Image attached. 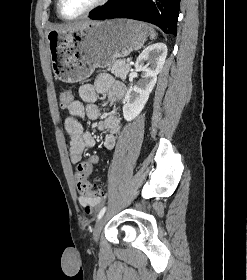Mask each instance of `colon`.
<instances>
[{
	"instance_id": "obj_1",
	"label": "colon",
	"mask_w": 247,
	"mask_h": 280,
	"mask_svg": "<svg viewBox=\"0 0 247 280\" xmlns=\"http://www.w3.org/2000/svg\"><path fill=\"white\" fill-rule=\"evenodd\" d=\"M59 99L62 107H68L73 102L74 94L70 89H63L60 92ZM97 161L98 157L93 156L89 161L81 162L78 165L75 173V179L80 195L95 197L100 193V190L96 187H93L88 181V178L92 172L93 164H95Z\"/></svg>"
}]
</instances>
